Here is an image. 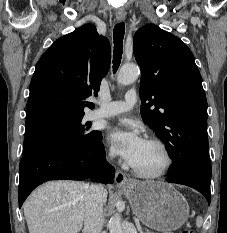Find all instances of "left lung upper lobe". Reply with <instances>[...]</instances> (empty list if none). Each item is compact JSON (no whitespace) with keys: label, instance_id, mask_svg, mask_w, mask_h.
<instances>
[{"label":"left lung upper lobe","instance_id":"obj_1","mask_svg":"<svg viewBox=\"0 0 227 233\" xmlns=\"http://www.w3.org/2000/svg\"><path fill=\"white\" fill-rule=\"evenodd\" d=\"M133 52L141 68V117L166 143L173 160L169 173L211 176L207 100L191 50L149 24L135 33Z\"/></svg>","mask_w":227,"mask_h":233}]
</instances>
